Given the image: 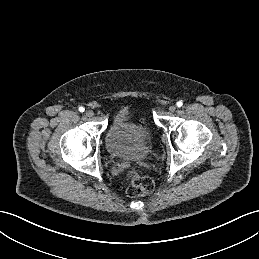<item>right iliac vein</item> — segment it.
I'll list each match as a JSON object with an SVG mask.
<instances>
[{
  "label": "right iliac vein",
  "instance_id": "obj_1",
  "mask_svg": "<svg viewBox=\"0 0 259 259\" xmlns=\"http://www.w3.org/2000/svg\"><path fill=\"white\" fill-rule=\"evenodd\" d=\"M86 115H87L88 117H93L94 112H93L92 110H87V111H86Z\"/></svg>",
  "mask_w": 259,
  "mask_h": 259
}]
</instances>
